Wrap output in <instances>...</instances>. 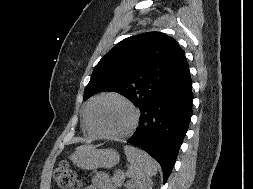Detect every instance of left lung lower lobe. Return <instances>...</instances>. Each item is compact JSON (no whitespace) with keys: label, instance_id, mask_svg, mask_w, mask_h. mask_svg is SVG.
Instances as JSON below:
<instances>
[{"label":"left lung lower lobe","instance_id":"left-lung-lower-lobe-1","mask_svg":"<svg viewBox=\"0 0 253 189\" xmlns=\"http://www.w3.org/2000/svg\"><path fill=\"white\" fill-rule=\"evenodd\" d=\"M191 85L186 61L174 79L140 109L139 127L127 141L159 162L164 183L172 171L192 116Z\"/></svg>","mask_w":253,"mask_h":189}]
</instances>
